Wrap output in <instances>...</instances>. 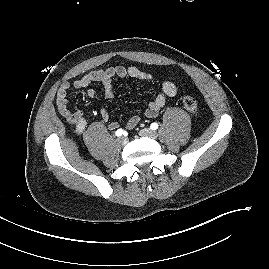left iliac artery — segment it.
Listing matches in <instances>:
<instances>
[{
  "instance_id": "44dca946",
  "label": "left iliac artery",
  "mask_w": 269,
  "mask_h": 269,
  "mask_svg": "<svg viewBox=\"0 0 269 269\" xmlns=\"http://www.w3.org/2000/svg\"><path fill=\"white\" fill-rule=\"evenodd\" d=\"M150 127H151L152 130H156L158 128V124L156 122H154V123L151 124Z\"/></svg>"
}]
</instances>
